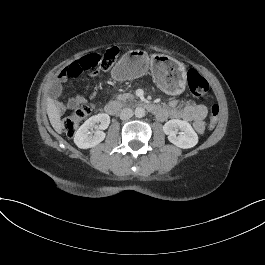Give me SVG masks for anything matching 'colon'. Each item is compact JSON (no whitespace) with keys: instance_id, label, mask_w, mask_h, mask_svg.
I'll use <instances>...</instances> for the list:
<instances>
[{"instance_id":"1","label":"colon","mask_w":265,"mask_h":265,"mask_svg":"<svg viewBox=\"0 0 265 265\" xmlns=\"http://www.w3.org/2000/svg\"><path fill=\"white\" fill-rule=\"evenodd\" d=\"M118 51L116 48H110L103 54H88L74 61L64 68L59 75L60 79H72L78 77L83 71L95 69L96 71H106L114 64ZM187 84L189 91L195 97L204 96L209 84L207 80L195 69H190L187 72ZM92 108L88 105H83L75 109L70 115L63 118L61 122L62 130L67 136H73L82 121L91 113ZM219 106L212 105L208 128L213 129L218 120Z\"/></svg>"}]
</instances>
